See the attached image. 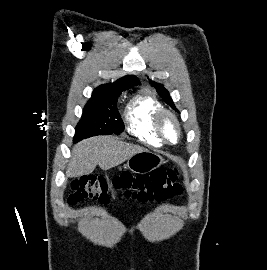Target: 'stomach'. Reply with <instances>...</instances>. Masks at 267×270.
Wrapping results in <instances>:
<instances>
[{"mask_svg": "<svg viewBox=\"0 0 267 270\" xmlns=\"http://www.w3.org/2000/svg\"><path fill=\"white\" fill-rule=\"evenodd\" d=\"M163 162L162 156L145 150L131 156L127 161L126 167L133 173H147L157 169Z\"/></svg>", "mask_w": 267, "mask_h": 270, "instance_id": "obj_1", "label": "stomach"}]
</instances>
